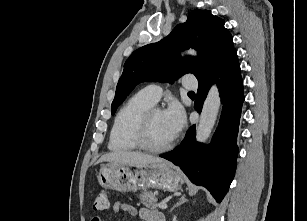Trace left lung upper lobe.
<instances>
[{"label":"left lung upper lobe","instance_id":"obj_1","mask_svg":"<svg viewBox=\"0 0 307 221\" xmlns=\"http://www.w3.org/2000/svg\"><path fill=\"white\" fill-rule=\"evenodd\" d=\"M224 20L209 10H193L185 23L177 25L159 42L135 50L124 64L112 102V115L135 86L144 81L170 82L186 73L203 81L214 75L236 52ZM195 48L200 58L179 55L181 50Z\"/></svg>","mask_w":307,"mask_h":221}]
</instances>
